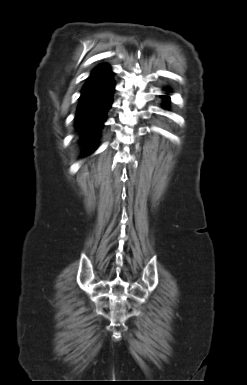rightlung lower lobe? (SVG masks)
<instances>
[{"label": "right lung lower lobe", "mask_w": 247, "mask_h": 385, "mask_svg": "<svg viewBox=\"0 0 247 385\" xmlns=\"http://www.w3.org/2000/svg\"><path fill=\"white\" fill-rule=\"evenodd\" d=\"M114 80L108 65H99L87 78L81 91L75 116V129L80 135L83 152L96 149L100 129L112 104Z\"/></svg>", "instance_id": "right-lung-lower-lobe-1"}]
</instances>
